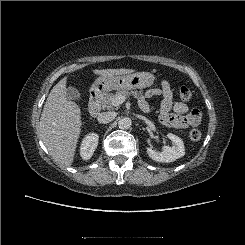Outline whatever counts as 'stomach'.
Returning a JSON list of instances; mask_svg holds the SVG:
<instances>
[{"instance_id": "0dacf381", "label": "stomach", "mask_w": 245, "mask_h": 245, "mask_svg": "<svg viewBox=\"0 0 245 245\" xmlns=\"http://www.w3.org/2000/svg\"><path fill=\"white\" fill-rule=\"evenodd\" d=\"M155 77L149 72H136L121 76H100L92 85L97 94H105L111 90H131L151 87Z\"/></svg>"}]
</instances>
